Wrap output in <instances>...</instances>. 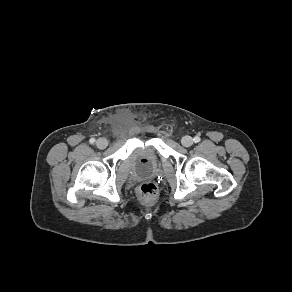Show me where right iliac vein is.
Wrapping results in <instances>:
<instances>
[{"label": "right iliac vein", "instance_id": "right-iliac-vein-1", "mask_svg": "<svg viewBox=\"0 0 292 292\" xmlns=\"http://www.w3.org/2000/svg\"><path fill=\"white\" fill-rule=\"evenodd\" d=\"M108 145V141L105 139V138H99L97 141H96V146L99 148V149H104L106 148Z\"/></svg>", "mask_w": 292, "mask_h": 292}]
</instances>
